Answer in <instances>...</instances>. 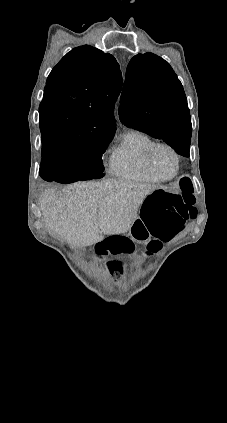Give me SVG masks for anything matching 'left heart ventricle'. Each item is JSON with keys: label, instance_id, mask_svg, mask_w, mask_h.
Instances as JSON below:
<instances>
[{"label": "left heart ventricle", "instance_id": "left-heart-ventricle-1", "mask_svg": "<svg viewBox=\"0 0 227 423\" xmlns=\"http://www.w3.org/2000/svg\"><path fill=\"white\" fill-rule=\"evenodd\" d=\"M155 171L162 177H170L176 170V162L172 153L165 148H157L151 157Z\"/></svg>", "mask_w": 227, "mask_h": 423}]
</instances>
